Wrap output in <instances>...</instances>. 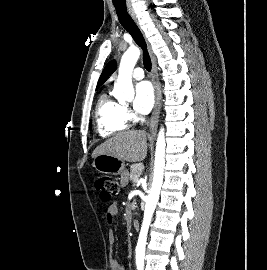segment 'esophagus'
Returning a JSON list of instances; mask_svg holds the SVG:
<instances>
[{"label":"esophagus","instance_id":"34e87169","mask_svg":"<svg viewBox=\"0 0 267 270\" xmlns=\"http://www.w3.org/2000/svg\"><path fill=\"white\" fill-rule=\"evenodd\" d=\"M128 12L130 16L132 17V19L134 20V22L139 26V22L133 8L129 7ZM146 43H147L148 52L151 58L152 81L154 84L155 94H156V103H155V107H154V110H153V113L149 122V136L154 137L156 135L157 125H158V120H159L161 93H160V84L158 80L156 58L152 51L150 43L147 40H146Z\"/></svg>","mask_w":267,"mask_h":270}]
</instances>
